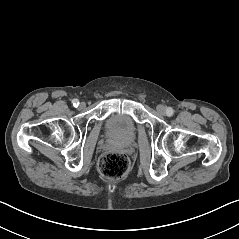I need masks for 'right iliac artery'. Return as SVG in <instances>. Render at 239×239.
Masks as SVG:
<instances>
[{
  "label": "right iliac artery",
  "instance_id": "1",
  "mask_svg": "<svg viewBox=\"0 0 239 239\" xmlns=\"http://www.w3.org/2000/svg\"><path fill=\"white\" fill-rule=\"evenodd\" d=\"M72 104H73L74 107H77L79 105L78 99H73Z\"/></svg>",
  "mask_w": 239,
  "mask_h": 239
}]
</instances>
